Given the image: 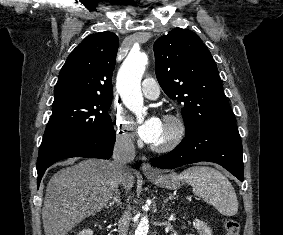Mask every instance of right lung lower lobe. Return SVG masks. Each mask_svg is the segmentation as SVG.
Segmentation results:
<instances>
[{
	"label": "right lung lower lobe",
	"mask_w": 283,
	"mask_h": 235,
	"mask_svg": "<svg viewBox=\"0 0 283 235\" xmlns=\"http://www.w3.org/2000/svg\"><path fill=\"white\" fill-rule=\"evenodd\" d=\"M115 142V132L98 134L92 138H77L63 143L37 160V183L39 185L46 169L55 162L70 157H87L108 159ZM138 167V163H137Z\"/></svg>",
	"instance_id": "right-lung-lower-lobe-1"
}]
</instances>
